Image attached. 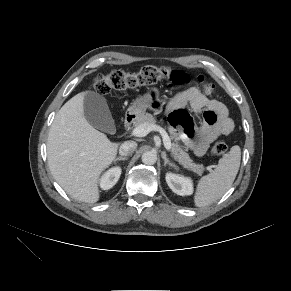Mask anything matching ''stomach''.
<instances>
[{
  "instance_id": "1",
  "label": "stomach",
  "mask_w": 291,
  "mask_h": 291,
  "mask_svg": "<svg viewBox=\"0 0 291 291\" xmlns=\"http://www.w3.org/2000/svg\"><path fill=\"white\" fill-rule=\"evenodd\" d=\"M162 100L160 99L159 90L152 88L143 96L138 97L129 107L130 115L141 117L147 109L157 112L161 109Z\"/></svg>"
}]
</instances>
